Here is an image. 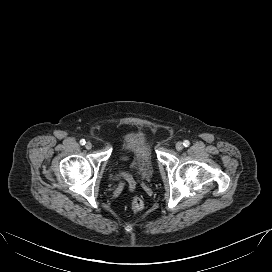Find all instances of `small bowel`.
I'll return each instance as SVG.
<instances>
[{"label":"small bowel","instance_id":"obj_1","mask_svg":"<svg viewBox=\"0 0 272 272\" xmlns=\"http://www.w3.org/2000/svg\"><path fill=\"white\" fill-rule=\"evenodd\" d=\"M122 159H123V160H127L128 157H127V156H124ZM121 176L128 182V184H129L130 186L133 185V180L131 179V177H130L128 174H126V173H121Z\"/></svg>","mask_w":272,"mask_h":272}]
</instances>
